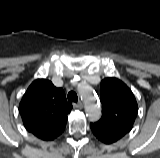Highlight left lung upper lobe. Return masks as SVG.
Listing matches in <instances>:
<instances>
[{"label":"left lung upper lobe","mask_w":160,"mask_h":158,"mask_svg":"<svg viewBox=\"0 0 160 158\" xmlns=\"http://www.w3.org/2000/svg\"><path fill=\"white\" fill-rule=\"evenodd\" d=\"M102 117L99 126L125 136L133 127L138 105L131 89L117 78H105L101 82Z\"/></svg>","instance_id":"1"}]
</instances>
